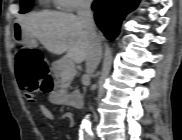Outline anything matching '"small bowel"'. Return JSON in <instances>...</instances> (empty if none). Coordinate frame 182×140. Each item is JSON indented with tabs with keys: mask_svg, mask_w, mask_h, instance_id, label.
<instances>
[{
	"mask_svg": "<svg viewBox=\"0 0 182 140\" xmlns=\"http://www.w3.org/2000/svg\"><path fill=\"white\" fill-rule=\"evenodd\" d=\"M39 110L44 118L48 120H51L53 118L52 112L46 106H40Z\"/></svg>",
	"mask_w": 182,
	"mask_h": 140,
	"instance_id": "obj_1",
	"label": "small bowel"
}]
</instances>
